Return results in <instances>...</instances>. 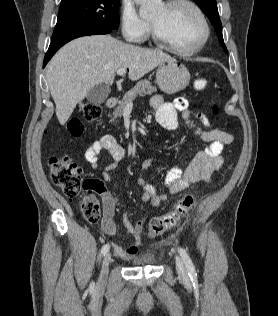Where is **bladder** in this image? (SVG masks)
Returning a JSON list of instances; mask_svg holds the SVG:
<instances>
[{"label":"bladder","mask_w":278,"mask_h":316,"mask_svg":"<svg viewBox=\"0 0 278 316\" xmlns=\"http://www.w3.org/2000/svg\"><path fill=\"white\" fill-rule=\"evenodd\" d=\"M156 263L154 258H139L133 261V264L136 266H151Z\"/></svg>","instance_id":"31cf9c89"}]
</instances>
